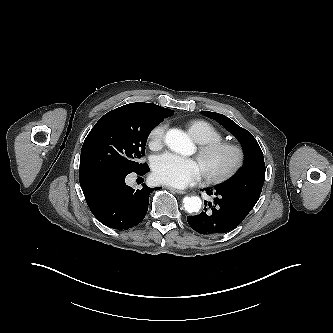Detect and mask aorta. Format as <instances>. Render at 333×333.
Masks as SVG:
<instances>
[{
    "mask_svg": "<svg viewBox=\"0 0 333 333\" xmlns=\"http://www.w3.org/2000/svg\"><path fill=\"white\" fill-rule=\"evenodd\" d=\"M164 141L172 151L182 155L190 154L193 149V144L187 134L176 128L167 131ZM183 205L188 213H197L201 209L202 201L198 196L185 197Z\"/></svg>",
    "mask_w": 333,
    "mask_h": 333,
    "instance_id": "obj_1",
    "label": "aorta"
}]
</instances>
